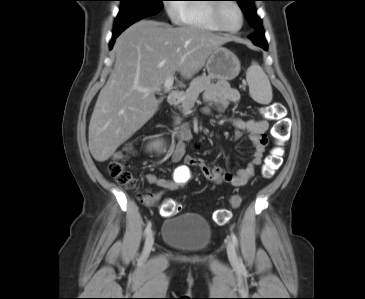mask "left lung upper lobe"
<instances>
[{"label": "left lung upper lobe", "mask_w": 365, "mask_h": 299, "mask_svg": "<svg viewBox=\"0 0 365 299\" xmlns=\"http://www.w3.org/2000/svg\"><path fill=\"white\" fill-rule=\"evenodd\" d=\"M242 9L250 25L257 31L263 30L262 21L256 14L254 1L257 0H236Z\"/></svg>", "instance_id": "obj_1"}]
</instances>
